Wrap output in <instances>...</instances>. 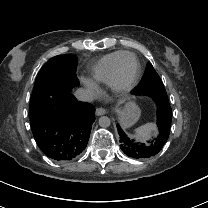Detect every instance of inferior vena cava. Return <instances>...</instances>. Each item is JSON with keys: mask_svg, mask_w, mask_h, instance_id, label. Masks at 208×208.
Segmentation results:
<instances>
[{"mask_svg": "<svg viewBox=\"0 0 208 208\" xmlns=\"http://www.w3.org/2000/svg\"><path fill=\"white\" fill-rule=\"evenodd\" d=\"M75 95L78 98V100H80V101L92 102V100H93V93L89 90L78 89L76 91Z\"/></svg>", "mask_w": 208, "mask_h": 208, "instance_id": "602c4592", "label": "inferior vena cava"}]
</instances>
